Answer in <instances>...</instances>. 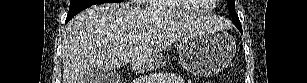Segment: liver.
I'll list each match as a JSON object with an SVG mask.
<instances>
[{
  "label": "liver",
  "mask_w": 307,
  "mask_h": 83,
  "mask_svg": "<svg viewBox=\"0 0 307 83\" xmlns=\"http://www.w3.org/2000/svg\"><path fill=\"white\" fill-rule=\"evenodd\" d=\"M209 15L164 13L128 4H101L67 24L62 46L63 83H84L93 68L144 64L174 42L218 27Z\"/></svg>",
  "instance_id": "liver-1"
}]
</instances>
